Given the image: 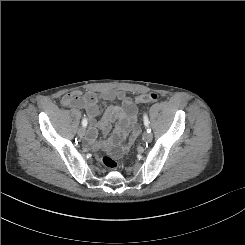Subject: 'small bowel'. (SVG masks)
<instances>
[{
    "instance_id": "obj_1",
    "label": "small bowel",
    "mask_w": 245,
    "mask_h": 245,
    "mask_svg": "<svg viewBox=\"0 0 245 245\" xmlns=\"http://www.w3.org/2000/svg\"><path fill=\"white\" fill-rule=\"evenodd\" d=\"M79 95L81 100L73 102L72 97ZM98 98L103 100H118L120 104H113L107 107L102 118L96 122L94 118L99 113ZM62 102L68 106H83L91 119V129L88 135L89 144H93L98 134V129L108 131L110 125L115 123L109 143L116 152L126 151L140 134V127L137 123L139 109L132 100L120 90H106L99 96L92 91L81 95L79 92L67 94ZM125 140L124 143H122Z\"/></svg>"
}]
</instances>
